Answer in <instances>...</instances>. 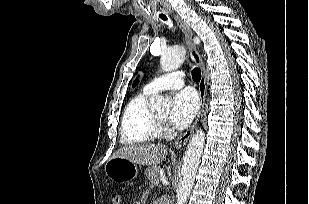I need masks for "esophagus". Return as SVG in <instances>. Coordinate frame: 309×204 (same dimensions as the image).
<instances>
[{
    "instance_id": "1",
    "label": "esophagus",
    "mask_w": 309,
    "mask_h": 204,
    "mask_svg": "<svg viewBox=\"0 0 309 204\" xmlns=\"http://www.w3.org/2000/svg\"><path fill=\"white\" fill-rule=\"evenodd\" d=\"M174 18H175L177 24L179 25L180 29L182 30V32L185 35V40H186L187 46L189 48L191 60L197 66H199V68L201 69V72H202L201 80L199 82V96H200V100H201L200 111H199L193 125L186 132H184L180 137H178L176 139V141L174 142V145H173V147L175 149H181L186 145L190 136L192 135V133H193V131H194L196 125H197V122L199 120V117L201 115L202 109L204 108L205 100H206V94H207V85H206V76H205V72H204V63H203L202 57H201V55H200V53L197 49V44L199 43V38L198 37L193 38L192 30L185 23V21H183L182 19H180L176 15L174 16Z\"/></svg>"
}]
</instances>
